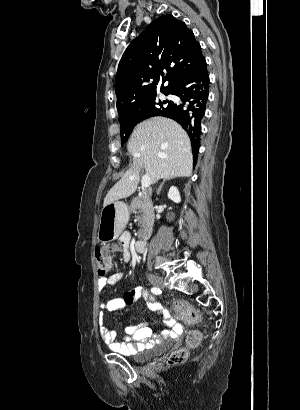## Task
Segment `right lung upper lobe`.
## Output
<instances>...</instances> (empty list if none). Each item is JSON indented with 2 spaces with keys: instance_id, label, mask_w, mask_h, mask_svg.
Returning a JSON list of instances; mask_svg holds the SVG:
<instances>
[{
  "instance_id": "right-lung-upper-lobe-1",
  "label": "right lung upper lobe",
  "mask_w": 300,
  "mask_h": 410,
  "mask_svg": "<svg viewBox=\"0 0 300 410\" xmlns=\"http://www.w3.org/2000/svg\"><path fill=\"white\" fill-rule=\"evenodd\" d=\"M203 57L200 44L184 22L164 15L126 48L115 77L119 120L140 114L144 101L171 91L177 79ZM166 83V87L163 84Z\"/></svg>"
}]
</instances>
